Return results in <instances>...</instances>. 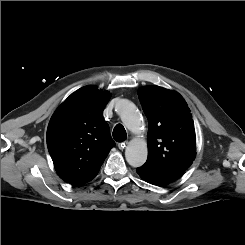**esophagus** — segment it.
I'll use <instances>...</instances> for the list:
<instances>
[{
  "label": "esophagus",
  "mask_w": 245,
  "mask_h": 245,
  "mask_svg": "<svg viewBox=\"0 0 245 245\" xmlns=\"http://www.w3.org/2000/svg\"><path fill=\"white\" fill-rule=\"evenodd\" d=\"M128 145V142L127 141H124V142H121V143H119L118 144V148L120 149V150H123V149H125V147Z\"/></svg>",
  "instance_id": "esophagus-1"
}]
</instances>
